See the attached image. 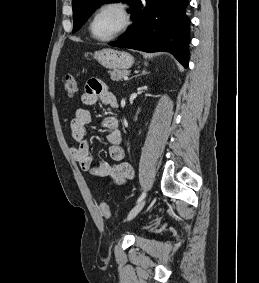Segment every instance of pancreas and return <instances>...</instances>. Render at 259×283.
Returning <instances> with one entry per match:
<instances>
[{
  "mask_svg": "<svg viewBox=\"0 0 259 283\" xmlns=\"http://www.w3.org/2000/svg\"><path fill=\"white\" fill-rule=\"evenodd\" d=\"M127 74H128V71L126 70H117V71H113L110 73V78L113 81H119V80H122L124 76H126Z\"/></svg>",
  "mask_w": 259,
  "mask_h": 283,
  "instance_id": "obj_1",
  "label": "pancreas"
}]
</instances>
